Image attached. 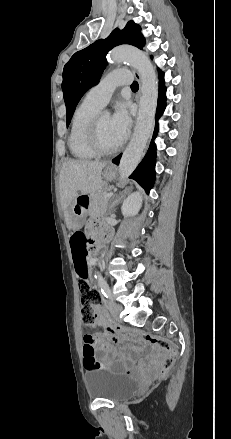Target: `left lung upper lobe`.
<instances>
[{
  "label": "left lung upper lobe",
  "instance_id": "obj_1",
  "mask_svg": "<svg viewBox=\"0 0 231 439\" xmlns=\"http://www.w3.org/2000/svg\"><path fill=\"white\" fill-rule=\"evenodd\" d=\"M121 44H130L142 49L145 38L141 34L140 26L129 21L123 30L116 28L105 40H97L76 52L65 64L62 90L66 104L67 126L81 97L98 83L107 64L108 51Z\"/></svg>",
  "mask_w": 231,
  "mask_h": 439
}]
</instances>
